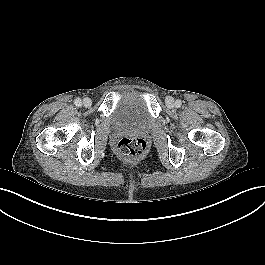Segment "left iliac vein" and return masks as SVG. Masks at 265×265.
I'll return each instance as SVG.
<instances>
[{"label":"left iliac vein","instance_id":"left-iliac-vein-1","mask_svg":"<svg viewBox=\"0 0 265 265\" xmlns=\"http://www.w3.org/2000/svg\"><path fill=\"white\" fill-rule=\"evenodd\" d=\"M166 105H167L168 107H170V108L174 107V105H175L174 98L171 97V96H168V97L166 98Z\"/></svg>","mask_w":265,"mask_h":265}]
</instances>
